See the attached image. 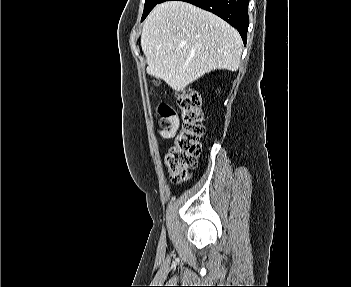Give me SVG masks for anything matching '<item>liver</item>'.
Returning <instances> with one entry per match:
<instances>
[{"instance_id": "obj_1", "label": "liver", "mask_w": 351, "mask_h": 287, "mask_svg": "<svg viewBox=\"0 0 351 287\" xmlns=\"http://www.w3.org/2000/svg\"><path fill=\"white\" fill-rule=\"evenodd\" d=\"M141 47L147 73L182 91L205 73L240 66L243 43L220 17L181 1L158 4L146 18Z\"/></svg>"}]
</instances>
